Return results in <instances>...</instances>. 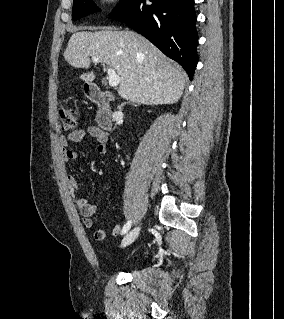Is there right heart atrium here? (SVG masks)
I'll return each mask as SVG.
<instances>
[{
    "label": "right heart atrium",
    "instance_id": "1",
    "mask_svg": "<svg viewBox=\"0 0 284 319\" xmlns=\"http://www.w3.org/2000/svg\"><path fill=\"white\" fill-rule=\"evenodd\" d=\"M117 1H118V0H101L102 3H104V4H109V5L114 4V3H116Z\"/></svg>",
    "mask_w": 284,
    "mask_h": 319
}]
</instances>
